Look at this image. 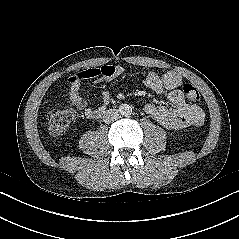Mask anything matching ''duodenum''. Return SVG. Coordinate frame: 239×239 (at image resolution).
I'll return each mask as SVG.
<instances>
[{
    "label": "duodenum",
    "mask_w": 239,
    "mask_h": 239,
    "mask_svg": "<svg viewBox=\"0 0 239 239\" xmlns=\"http://www.w3.org/2000/svg\"><path fill=\"white\" fill-rule=\"evenodd\" d=\"M99 114H101V112H98L96 115H99Z\"/></svg>",
    "instance_id": "duodenum-1"
}]
</instances>
